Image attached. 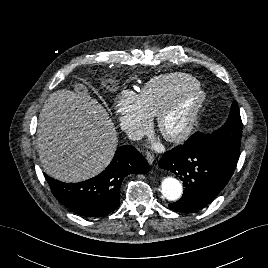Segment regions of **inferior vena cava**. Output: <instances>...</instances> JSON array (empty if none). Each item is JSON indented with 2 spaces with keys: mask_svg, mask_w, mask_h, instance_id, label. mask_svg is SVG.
I'll return each mask as SVG.
<instances>
[{
  "mask_svg": "<svg viewBox=\"0 0 268 268\" xmlns=\"http://www.w3.org/2000/svg\"><path fill=\"white\" fill-rule=\"evenodd\" d=\"M124 131L128 135V137L132 140H140L142 138L141 133L132 127H124Z\"/></svg>",
  "mask_w": 268,
  "mask_h": 268,
  "instance_id": "602c4592",
  "label": "inferior vena cava"
}]
</instances>
